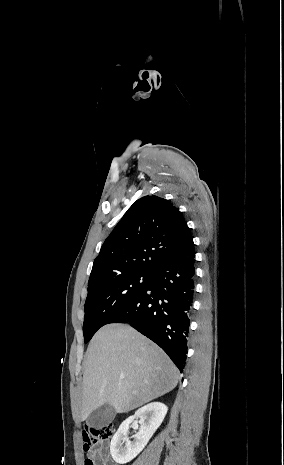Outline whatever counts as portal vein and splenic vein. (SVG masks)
Returning a JSON list of instances; mask_svg holds the SVG:
<instances>
[{
  "label": "portal vein and splenic vein",
  "mask_w": 284,
  "mask_h": 465,
  "mask_svg": "<svg viewBox=\"0 0 284 465\" xmlns=\"http://www.w3.org/2000/svg\"><path fill=\"white\" fill-rule=\"evenodd\" d=\"M120 379H125L124 375H119Z\"/></svg>",
  "instance_id": "1"
}]
</instances>
